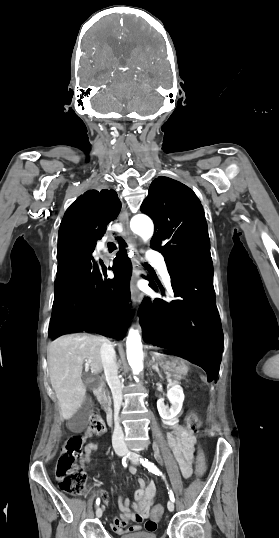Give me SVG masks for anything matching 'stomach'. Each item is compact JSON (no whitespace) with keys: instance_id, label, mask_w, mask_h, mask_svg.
Returning <instances> with one entry per match:
<instances>
[{"instance_id":"0dacf381","label":"stomach","mask_w":279,"mask_h":538,"mask_svg":"<svg viewBox=\"0 0 279 538\" xmlns=\"http://www.w3.org/2000/svg\"><path fill=\"white\" fill-rule=\"evenodd\" d=\"M153 358H155L158 364H161L162 368L168 370L171 374H185L187 367L184 358H180L179 353H159L153 352Z\"/></svg>"}]
</instances>
